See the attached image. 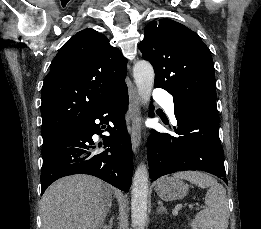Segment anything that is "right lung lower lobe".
<instances>
[{"label": "right lung lower lobe", "mask_w": 261, "mask_h": 229, "mask_svg": "<svg viewBox=\"0 0 261 229\" xmlns=\"http://www.w3.org/2000/svg\"><path fill=\"white\" fill-rule=\"evenodd\" d=\"M127 88L113 95L90 119L43 144L41 195L55 180L73 174H89L128 192L133 175L132 146L124 123ZM99 119L100 123H95ZM112 122L111 127L108 122ZM107 124L110 136H102L104 147L94 146L92 136ZM101 147V145L99 146Z\"/></svg>", "instance_id": "98d812e1"}]
</instances>
